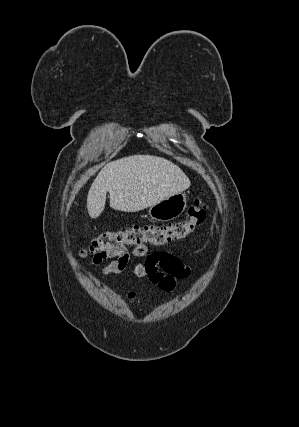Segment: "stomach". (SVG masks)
I'll return each mask as SVG.
<instances>
[{
  "label": "stomach",
  "mask_w": 299,
  "mask_h": 427,
  "mask_svg": "<svg viewBox=\"0 0 299 427\" xmlns=\"http://www.w3.org/2000/svg\"><path fill=\"white\" fill-rule=\"evenodd\" d=\"M186 207V195L180 192L150 206L148 214L153 220L167 222L179 217Z\"/></svg>",
  "instance_id": "1"
}]
</instances>
